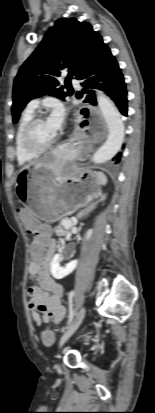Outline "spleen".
Returning a JSON list of instances; mask_svg holds the SVG:
<instances>
[{
    "instance_id": "3e777b00",
    "label": "spleen",
    "mask_w": 155,
    "mask_h": 413,
    "mask_svg": "<svg viewBox=\"0 0 155 413\" xmlns=\"http://www.w3.org/2000/svg\"><path fill=\"white\" fill-rule=\"evenodd\" d=\"M96 174H97L100 184L105 185L107 183V177L105 176V174L102 172H97Z\"/></svg>"
}]
</instances>
